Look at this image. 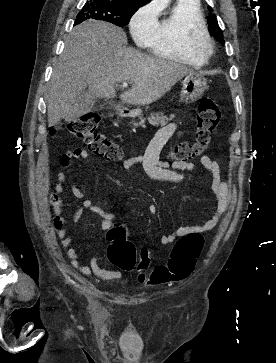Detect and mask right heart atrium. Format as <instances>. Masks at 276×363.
Wrapping results in <instances>:
<instances>
[{
  "mask_svg": "<svg viewBox=\"0 0 276 363\" xmlns=\"http://www.w3.org/2000/svg\"><path fill=\"white\" fill-rule=\"evenodd\" d=\"M158 5L154 2L139 8L131 17L129 27L133 39L139 44H147L158 25Z\"/></svg>",
  "mask_w": 276,
  "mask_h": 363,
  "instance_id": "1",
  "label": "right heart atrium"
}]
</instances>
